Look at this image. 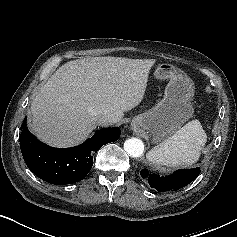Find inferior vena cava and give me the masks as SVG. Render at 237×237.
Masks as SVG:
<instances>
[{
    "label": "inferior vena cava",
    "instance_id": "1",
    "mask_svg": "<svg viewBox=\"0 0 237 237\" xmlns=\"http://www.w3.org/2000/svg\"><path fill=\"white\" fill-rule=\"evenodd\" d=\"M95 120L99 125H107L117 122V118L111 114L97 115Z\"/></svg>",
    "mask_w": 237,
    "mask_h": 237
}]
</instances>
